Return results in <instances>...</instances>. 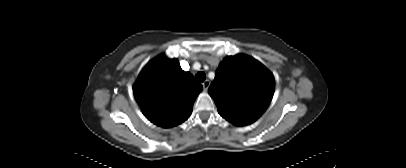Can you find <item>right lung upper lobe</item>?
Here are the masks:
<instances>
[{
  "label": "right lung upper lobe",
  "instance_id": "obj_1",
  "mask_svg": "<svg viewBox=\"0 0 406 168\" xmlns=\"http://www.w3.org/2000/svg\"><path fill=\"white\" fill-rule=\"evenodd\" d=\"M202 89L191 73L181 69L177 59L160 55L143 68L133 92L146 118L169 128L189 118Z\"/></svg>",
  "mask_w": 406,
  "mask_h": 168
}]
</instances>
